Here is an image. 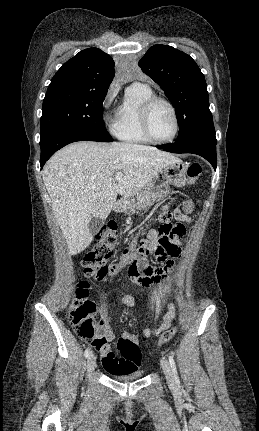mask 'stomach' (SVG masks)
<instances>
[{
	"instance_id": "obj_1",
	"label": "stomach",
	"mask_w": 259,
	"mask_h": 431,
	"mask_svg": "<svg viewBox=\"0 0 259 431\" xmlns=\"http://www.w3.org/2000/svg\"><path fill=\"white\" fill-rule=\"evenodd\" d=\"M187 167L181 160L167 165L162 171L164 181L154 180L148 183L138 194L126 200L122 208L146 210L154 202L166 198L171 192V185L177 187L185 185Z\"/></svg>"
}]
</instances>
